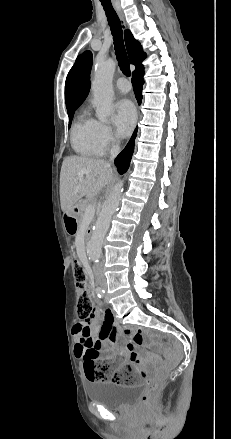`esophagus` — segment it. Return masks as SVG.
Wrapping results in <instances>:
<instances>
[{
	"label": "esophagus",
	"mask_w": 231,
	"mask_h": 439,
	"mask_svg": "<svg viewBox=\"0 0 231 439\" xmlns=\"http://www.w3.org/2000/svg\"><path fill=\"white\" fill-rule=\"evenodd\" d=\"M118 13H119V17H120L122 23L125 25V20H124V16H123L122 12L118 11Z\"/></svg>",
	"instance_id": "34e87169"
}]
</instances>
